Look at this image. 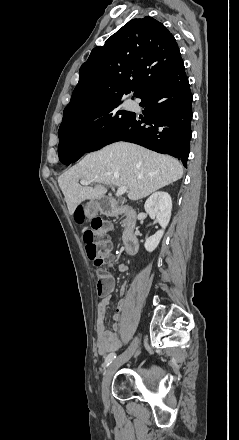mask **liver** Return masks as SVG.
<instances>
[{"label": "liver", "mask_w": 239, "mask_h": 440, "mask_svg": "<svg viewBox=\"0 0 239 440\" xmlns=\"http://www.w3.org/2000/svg\"><path fill=\"white\" fill-rule=\"evenodd\" d=\"M142 176V178H138ZM183 166L171 156L156 154L136 144L116 142L99 152L87 154L58 178L68 212L73 216L84 200H98L107 192L104 186H80L79 180H89L108 186H126L129 200H141L160 188L180 180Z\"/></svg>", "instance_id": "6515ba94"}]
</instances>
